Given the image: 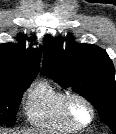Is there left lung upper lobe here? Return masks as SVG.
<instances>
[{
	"mask_svg": "<svg viewBox=\"0 0 116 134\" xmlns=\"http://www.w3.org/2000/svg\"><path fill=\"white\" fill-rule=\"evenodd\" d=\"M41 73L86 98L116 134L115 71L105 50L75 43L72 37L63 49L60 41L47 35Z\"/></svg>",
	"mask_w": 116,
	"mask_h": 134,
	"instance_id": "left-lung-upper-lobe-1",
	"label": "left lung upper lobe"
}]
</instances>
